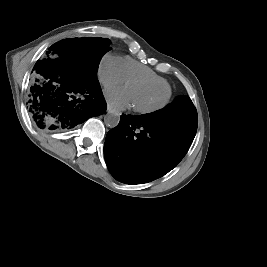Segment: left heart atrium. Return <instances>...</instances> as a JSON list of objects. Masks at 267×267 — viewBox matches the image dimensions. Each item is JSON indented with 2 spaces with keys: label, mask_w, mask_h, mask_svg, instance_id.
<instances>
[{
  "label": "left heart atrium",
  "mask_w": 267,
  "mask_h": 267,
  "mask_svg": "<svg viewBox=\"0 0 267 267\" xmlns=\"http://www.w3.org/2000/svg\"><path fill=\"white\" fill-rule=\"evenodd\" d=\"M105 97L112 107L124 109L132 105L131 94L127 87L108 88L105 90Z\"/></svg>",
  "instance_id": "obj_1"
}]
</instances>
